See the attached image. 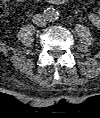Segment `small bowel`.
I'll return each instance as SVG.
<instances>
[{
    "instance_id": "1",
    "label": "small bowel",
    "mask_w": 100,
    "mask_h": 118,
    "mask_svg": "<svg viewBox=\"0 0 100 118\" xmlns=\"http://www.w3.org/2000/svg\"><path fill=\"white\" fill-rule=\"evenodd\" d=\"M89 19L94 25H99L100 24V15L91 13L89 15Z\"/></svg>"
}]
</instances>
